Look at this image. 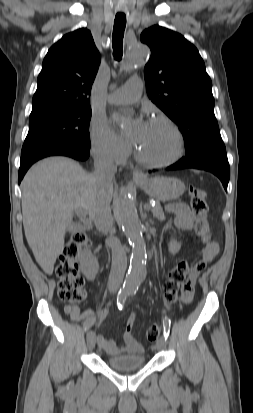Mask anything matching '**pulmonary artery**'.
I'll return each mask as SVG.
<instances>
[{
  "mask_svg": "<svg viewBox=\"0 0 253 413\" xmlns=\"http://www.w3.org/2000/svg\"><path fill=\"white\" fill-rule=\"evenodd\" d=\"M142 83L138 79L130 80L123 87L112 92L108 96V102L112 104H130L136 102L141 95Z\"/></svg>",
  "mask_w": 253,
  "mask_h": 413,
  "instance_id": "e3ab8cb5",
  "label": "pulmonary artery"
}]
</instances>
